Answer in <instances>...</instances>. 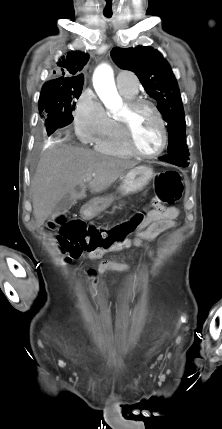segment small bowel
I'll list each match as a JSON object with an SVG mask.
<instances>
[{
	"mask_svg": "<svg viewBox=\"0 0 222 429\" xmlns=\"http://www.w3.org/2000/svg\"><path fill=\"white\" fill-rule=\"evenodd\" d=\"M154 208L149 211L138 226L133 239H127L121 244L107 250H98L88 252L87 258L97 260L109 253H118L131 247L144 249L148 256L153 259L154 252L150 248V242L155 240L161 233H164L176 226V219L179 211L176 207H165L159 203V200L153 202ZM107 271L129 272L130 266L126 263L115 260L101 261L95 269L88 270V275L98 283L100 278Z\"/></svg>",
	"mask_w": 222,
	"mask_h": 429,
	"instance_id": "1",
	"label": "small bowel"
}]
</instances>
